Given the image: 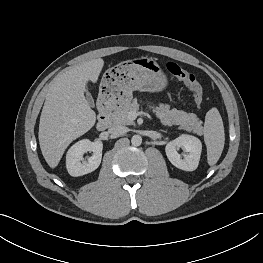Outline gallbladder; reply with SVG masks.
Here are the masks:
<instances>
[{
	"label": "gallbladder",
	"instance_id": "bac80fb5",
	"mask_svg": "<svg viewBox=\"0 0 263 263\" xmlns=\"http://www.w3.org/2000/svg\"><path fill=\"white\" fill-rule=\"evenodd\" d=\"M85 93H86V97H87V101H88L89 105L93 106L94 100H93V97L91 96L90 92L86 89Z\"/></svg>",
	"mask_w": 263,
	"mask_h": 263
}]
</instances>
